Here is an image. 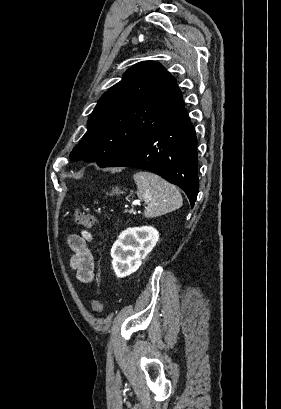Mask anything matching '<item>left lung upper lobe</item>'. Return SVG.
I'll return each mask as SVG.
<instances>
[{
    "label": "left lung upper lobe",
    "mask_w": 281,
    "mask_h": 409,
    "mask_svg": "<svg viewBox=\"0 0 281 409\" xmlns=\"http://www.w3.org/2000/svg\"><path fill=\"white\" fill-rule=\"evenodd\" d=\"M183 106L176 80L161 64L137 63L99 99L70 159L103 167Z\"/></svg>",
    "instance_id": "5c2ea615"
}]
</instances>
